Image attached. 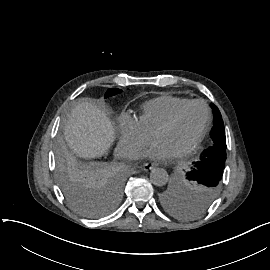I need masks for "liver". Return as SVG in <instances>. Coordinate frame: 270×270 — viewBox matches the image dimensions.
<instances>
[{"label":"liver","mask_w":270,"mask_h":270,"mask_svg":"<svg viewBox=\"0 0 270 270\" xmlns=\"http://www.w3.org/2000/svg\"><path fill=\"white\" fill-rule=\"evenodd\" d=\"M68 145L83 157L105 153L114 141V129L106 115L89 102H80L65 124Z\"/></svg>","instance_id":"1"}]
</instances>
